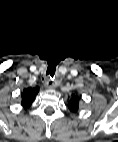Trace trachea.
Listing matches in <instances>:
<instances>
[{
	"label": "trachea",
	"mask_w": 118,
	"mask_h": 142,
	"mask_svg": "<svg viewBox=\"0 0 118 142\" xmlns=\"http://www.w3.org/2000/svg\"><path fill=\"white\" fill-rule=\"evenodd\" d=\"M55 64L54 63H49L48 64V68H47V71H46V75H50V77H53L54 74H55Z\"/></svg>",
	"instance_id": "obj_1"
}]
</instances>
